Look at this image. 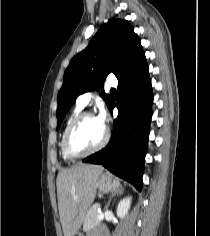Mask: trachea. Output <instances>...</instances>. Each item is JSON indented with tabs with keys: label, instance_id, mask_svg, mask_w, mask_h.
Segmentation results:
<instances>
[{
	"label": "trachea",
	"instance_id": "trachea-1",
	"mask_svg": "<svg viewBox=\"0 0 210 236\" xmlns=\"http://www.w3.org/2000/svg\"><path fill=\"white\" fill-rule=\"evenodd\" d=\"M111 92H116V90L115 89H111Z\"/></svg>",
	"mask_w": 210,
	"mask_h": 236
}]
</instances>
